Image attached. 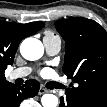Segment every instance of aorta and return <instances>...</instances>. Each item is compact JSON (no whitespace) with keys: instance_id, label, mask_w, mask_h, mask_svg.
I'll return each mask as SVG.
<instances>
[{"instance_id":"aorta-1","label":"aorta","mask_w":107,"mask_h":107,"mask_svg":"<svg viewBox=\"0 0 107 107\" xmlns=\"http://www.w3.org/2000/svg\"><path fill=\"white\" fill-rule=\"evenodd\" d=\"M21 55L30 61L38 60L43 56L44 47L36 38L25 39L20 46ZM43 107H57L58 98L53 94H44L41 98Z\"/></svg>"}]
</instances>
